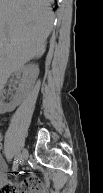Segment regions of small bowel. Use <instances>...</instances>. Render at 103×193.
<instances>
[{
	"mask_svg": "<svg viewBox=\"0 0 103 193\" xmlns=\"http://www.w3.org/2000/svg\"><path fill=\"white\" fill-rule=\"evenodd\" d=\"M16 168V166H15ZM1 176L0 184L3 193H20V186L26 189V193H48L47 187L34 175L27 177L21 184H13L7 178V165L5 162L0 164Z\"/></svg>",
	"mask_w": 103,
	"mask_h": 193,
	"instance_id": "1",
	"label": "small bowel"
}]
</instances>
